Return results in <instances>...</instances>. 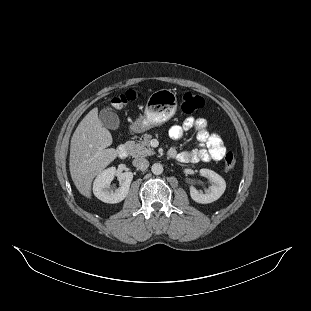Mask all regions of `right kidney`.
Segmentation results:
<instances>
[{
  "instance_id": "ca27d5eb",
  "label": "right kidney",
  "mask_w": 311,
  "mask_h": 311,
  "mask_svg": "<svg viewBox=\"0 0 311 311\" xmlns=\"http://www.w3.org/2000/svg\"><path fill=\"white\" fill-rule=\"evenodd\" d=\"M116 173L115 167H110L102 171L94 180L93 193L101 201L105 203H119L128 195L131 181L133 179L132 172H124L118 176L120 187L115 191L110 189V183Z\"/></svg>"
}]
</instances>
